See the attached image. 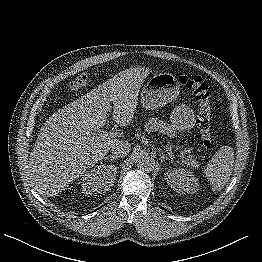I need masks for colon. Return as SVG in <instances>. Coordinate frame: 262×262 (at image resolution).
<instances>
[{
	"label": "colon",
	"instance_id": "5ec220e1",
	"mask_svg": "<svg viewBox=\"0 0 262 262\" xmlns=\"http://www.w3.org/2000/svg\"><path fill=\"white\" fill-rule=\"evenodd\" d=\"M87 76H79L69 86L70 91H77L88 84ZM180 83L192 91L199 107L197 125L200 130L201 140L205 148H210L213 139L211 129V95L208 85L200 76L183 75L179 79Z\"/></svg>",
	"mask_w": 262,
	"mask_h": 262
}]
</instances>
